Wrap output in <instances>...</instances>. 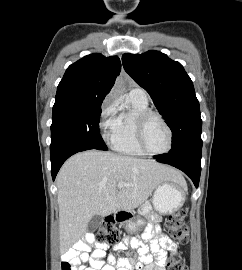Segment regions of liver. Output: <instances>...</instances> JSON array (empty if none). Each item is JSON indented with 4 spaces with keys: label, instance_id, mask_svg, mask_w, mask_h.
Wrapping results in <instances>:
<instances>
[{
    "label": "liver",
    "instance_id": "obj_1",
    "mask_svg": "<svg viewBox=\"0 0 242 270\" xmlns=\"http://www.w3.org/2000/svg\"><path fill=\"white\" fill-rule=\"evenodd\" d=\"M60 246L69 248L94 215L131 211L163 182L186 185L176 170L153 160L89 150L69 158L57 175ZM119 182L128 184L117 189Z\"/></svg>",
    "mask_w": 242,
    "mask_h": 270
}]
</instances>
